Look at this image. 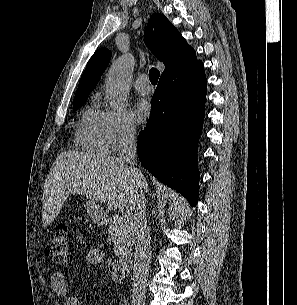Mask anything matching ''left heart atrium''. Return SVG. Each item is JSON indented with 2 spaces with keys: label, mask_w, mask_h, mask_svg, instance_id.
<instances>
[{
  "label": "left heart atrium",
  "mask_w": 297,
  "mask_h": 305,
  "mask_svg": "<svg viewBox=\"0 0 297 305\" xmlns=\"http://www.w3.org/2000/svg\"><path fill=\"white\" fill-rule=\"evenodd\" d=\"M134 113L137 122L139 123L145 122L149 118L151 113V108L149 103L145 100L138 101L135 106Z\"/></svg>",
  "instance_id": "39dd6f15"
}]
</instances>
